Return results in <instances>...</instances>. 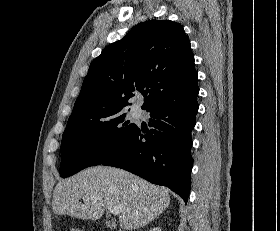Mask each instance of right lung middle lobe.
<instances>
[{
    "instance_id": "right-lung-middle-lobe-1",
    "label": "right lung middle lobe",
    "mask_w": 280,
    "mask_h": 231,
    "mask_svg": "<svg viewBox=\"0 0 280 231\" xmlns=\"http://www.w3.org/2000/svg\"><path fill=\"white\" fill-rule=\"evenodd\" d=\"M124 111L92 119L68 120L61 144L60 176L100 165L134 129Z\"/></svg>"
}]
</instances>
